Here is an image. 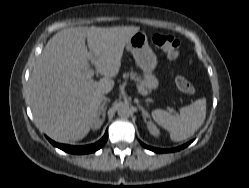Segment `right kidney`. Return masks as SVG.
<instances>
[{
    "instance_id": "obj_1",
    "label": "right kidney",
    "mask_w": 249,
    "mask_h": 188,
    "mask_svg": "<svg viewBox=\"0 0 249 188\" xmlns=\"http://www.w3.org/2000/svg\"><path fill=\"white\" fill-rule=\"evenodd\" d=\"M104 121H102V119H99L98 117L95 119L94 123H93V129L94 130H98L100 129V127L102 126Z\"/></svg>"
}]
</instances>
